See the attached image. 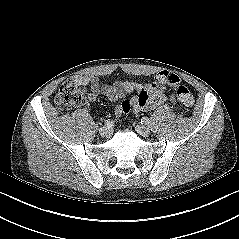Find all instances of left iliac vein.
Masks as SVG:
<instances>
[{
	"instance_id": "left-iliac-vein-1",
	"label": "left iliac vein",
	"mask_w": 239,
	"mask_h": 239,
	"mask_svg": "<svg viewBox=\"0 0 239 239\" xmlns=\"http://www.w3.org/2000/svg\"><path fill=\"white\" fill-rule=\"evenodd\" d=\"M135 129L136 132L143 137H148L150 135V129L146 126L137 125Z\"/></svg>"
}]
</instances>
